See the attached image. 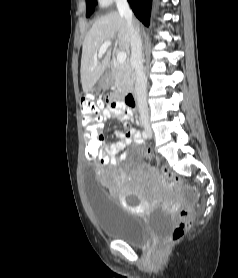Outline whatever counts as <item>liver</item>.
<instances>
[{"label": "liver", "mask_w": 238, "mask_h": 278, "mask_svg": "<svg viewBox=\"0 0 238 278\" xmlns=\"http://www.w3.org/2000/svg\"><path fill=\"white\" fill-rule=\"evenodd\" d=\"M139 29V25L134 22ZM115 40L121 51H129L130 34L125 18L118 12L108 13L95 21L83 42L81 57V83L84 93L92 91L93 86L107 69L111 48L101 60L98 51L106 41Z\"/></svg>", "instance_id": "obj_1"}]
</instances>
